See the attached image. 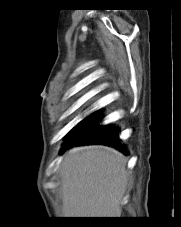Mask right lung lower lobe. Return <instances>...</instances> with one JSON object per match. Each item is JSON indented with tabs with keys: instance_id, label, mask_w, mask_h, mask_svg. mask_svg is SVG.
<instances>
[{
	"instance_id": "98d812e1",
	"label": "right lung lower lobe",
	"mask_w": 181,
	"mask_h": 227,
	"mask_svg": "<svg viewBox=\"0 0 181 227\" xmlns=\"http://www.w3.org/2000/svg\"><path fill=\"white\" fill-rule=\"evenodd\" d=\"M98 120H101V118L96 113L74 127L65 140L62 151L74 145L103 144L112 146L126 154V150L121 145L118 137V129L110 126H100Z\"/></svg>"
}]
</instances>
